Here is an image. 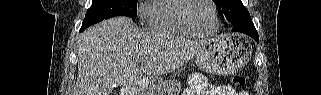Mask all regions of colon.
Here are the masks:
<instances>
[{"label": "colon", "mask_w": 321, "mask_h": 95, "mask_svg": "<svg viewBox=\"0 0 321 95\" xmlns=\"http://www.w3.org/2000/svg\"><path fill=\"white\" fill-rule=\"evenodd\" d=\"M231 82L235 86H243L245 84V77L240 74H235L231 77Z\"/></svg>", "instance_id": "obj_1"}]
</instances>
